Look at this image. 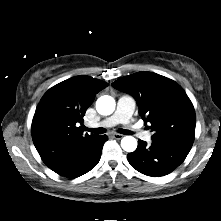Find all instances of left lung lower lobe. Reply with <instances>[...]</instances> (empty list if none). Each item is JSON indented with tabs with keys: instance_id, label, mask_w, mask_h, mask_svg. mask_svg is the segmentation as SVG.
<instances>
[{
	"instance_id": "obj_1",
	"label": "left lung lower lobe",
	"mask_w": 221,
	"mask_h": 221,
	"mask_svg": "<svg viewBox=\"0 0 221 221\" xmlns=\"http://www.w3.org/2000/svg\"><path fill=\"white\" fill-rule=\"evenodd\" d=\"M190 148L169 143L152 141L147 145L138 140L137 149L127 155L131 166L142 174L160 177L172 172L186 158Z\"/></svg>"
}]
</instances>
